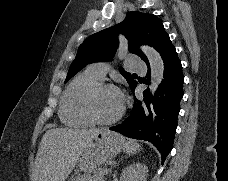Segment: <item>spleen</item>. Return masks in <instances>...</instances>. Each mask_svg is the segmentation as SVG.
Masks as SVG:
<instances>
[{
  "mask_svg": "<svg viewBox=\"0 0 228 181\" xmlns=\"http://www.w3.org/2000/svg\"><path fill=\"white\" fill-rule=\"evenodd\" d=\"M141 145L137 143V141H127V143H124V151L127 153V155H135V153H139Z\"/></svg>",
  "mask_w": 228,
  "mask_h": 181,
  "instance_id": "spleen-1",
  "label": "spleen"
}]
</instances>
